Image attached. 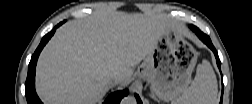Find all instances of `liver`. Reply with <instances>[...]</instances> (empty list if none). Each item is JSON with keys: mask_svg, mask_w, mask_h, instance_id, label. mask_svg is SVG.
<instances>
[{"mask_svg": "<svg viewBox=\"0 0 252 104\" xmlns=\"http://www.w3.org/2000/svg\"><path fill=\"white\" fill-rule=\"evenodd\" d=\"M169 26L163 16L120 12L64 24L40 54L39 97L48 104L100 102L110 78L130 79Z\"/></svg>", "mask_w": 252, "mask_h": 104, "instance_id": "obj_1", "label": "liver"}]
</instances>
